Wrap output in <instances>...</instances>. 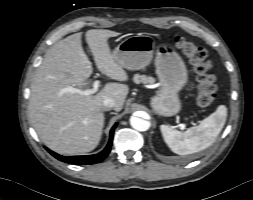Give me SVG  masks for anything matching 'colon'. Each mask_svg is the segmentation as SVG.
Returning <instances> with one entry per match:
<instances>
[{
	"mask_svg": "<svg viewBox=\"0 0 253 200\" xmlns=\"http://www.w3.org/2000/svg\"><path fill=\"white\" fill-rule=\"evenodd\" d=\"M175 44L188 58L198 74V105L202 108L209 107L215 100L217 87L215 76L210 73L212 62L207 51L183 37H176Z\"/></svg>",
	"mask_w": 253,
	"mask_h": 200,
	"instance_id": "colon-1",
	"label": "colon"
}]
</instances>
